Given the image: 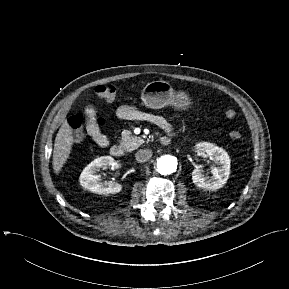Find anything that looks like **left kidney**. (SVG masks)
Listing matches in <instances>:
<instances>
[{
  "label": "left kidney",
  "instance_id": "5707ae66",
  "mask_svg": "<svg viewBox=\"0 0 289 289\" xmlns=\"http://www.w3.org/2000/svg\"><path fill=\"white\" fill-rule=\"evenodd\" d=\"M196 149L206 153L210 158L218 163V167L211 170L212 176L207 177L203 174V170L196 168L192 172L193 183L201 188L216 191L223 187L227 182L230 174V158L226 151L222 148L208 142H201L196 145Z\"/></svg>",
  "mask_w": 289,
  "mask_h": 289
}]
</instances>
